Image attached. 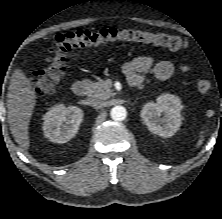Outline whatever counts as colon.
Instances as JSON below:
<instances>
[{
    "instance_id": "5ec220e1",
    "label": "colon",
    "mask_w": 222,
    "mask_h": 219,
    "mask_svg": "<svg viewBox=\"0 0 222 219\" xmlns=\"http://www.w3.org/2000/svg\"><path fill=\"white\" fill-rule=\"evenodd\" d=\"M115 41L153 43L171 50H182L187 42L180 36L164 33H152L137 29H118L114 27L97 30L80 29L58 35L48 49L45 69L33 73L31 80L40 93L54 91L65 77L68 53L80 47H90ZM212 88V82L201 79L197 89L201 94H207Z\"/></svg>"
}]
</instances>
